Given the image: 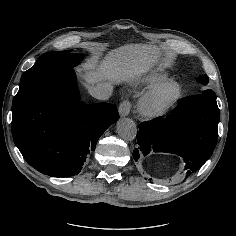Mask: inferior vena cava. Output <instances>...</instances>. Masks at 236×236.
I'll return each instance as SVG.
<instances>
[{
    "label": "inferior vena cava",
    "mask_w": 236,
    "mask_h": 236,
    "mask_svg": "<svg viewBox=\"0 0 236 236\" xmlns=\"http://www.w3.org/2000/svg\"><path fill=\"white\" fill-rule=\"evenodd\" d=\"M113 87L109 83H99L89 90L92 97L98 100H107L110 98Z\"/></svg>",
    "instance_id": "obj_1"
}]
</instances>
